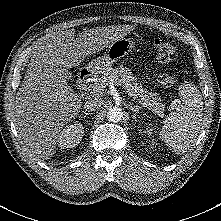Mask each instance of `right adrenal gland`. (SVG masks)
Segmentation results:
<instances>
[{
  "label": "right adrenal gland",
  "instance_id": "right-adrenal-gland-1",
  "mask_svg": "<svg viewBox=\"0 0 221 221\" xmlns=\"http://www.w3.org/2000/svg\"><path fill=\"white\" fill-rule=\"evenodd\" d=\"M82 113H84L85 115H92L93 113H89V112H86V111H83Z\"/></svg>",
  "mask_w": 221,
  "mask_h": 221
}]
</instances>
